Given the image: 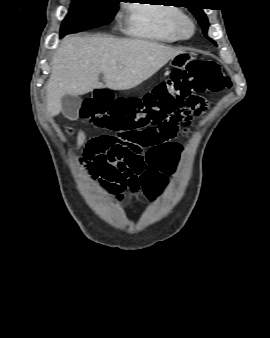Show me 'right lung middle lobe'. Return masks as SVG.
I'll return each mask as SVG.
<instances>
[{"instance_id":"obj_1","label":"right lung middle lobe","mask_w":270,"mask_h":338,"mask_svg":"<svg viewBox=\"0 0 270 338\" xmlns=\"http://www.w3.org/2000/svg\"><path fill=\"white\" fill-rule=\"evenodd\" d=\"M121 0H73L61 25L60 37L108 24Z\"/></svg>"}]
</instances>
